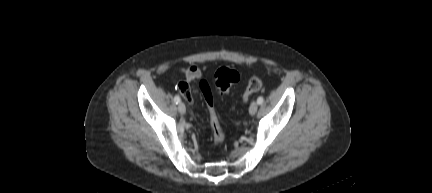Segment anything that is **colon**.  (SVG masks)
Segmentation results:
<instances>
[{
	"mask_svg": "<svg viewBox=\"0 0 432 193\" xmlns=\"http://www.w3.org/2000/svg\"><path fill=\"white\" fill-rule=\"evenodd\" d=\"M239 79L240 75L236 70L223 66L220 67L215 73L214 85L220 93H226L229 91L231 86H233L239 81ZM262 85L263 83L260 78L252 77L246 86L243 94V99L247 100L250 95L259 91L262 88ZM200 88L208 105L214 143L218 146H221L224 143L225 134L223 132L219 117L214 107V101L210 86L206 81L203 80L200 83Z\"/></svg>",
	"mask_w": 432,
	"mask_h": 193,
	"instance_id": "1",
	"label": "colon"
}]
</instances>
